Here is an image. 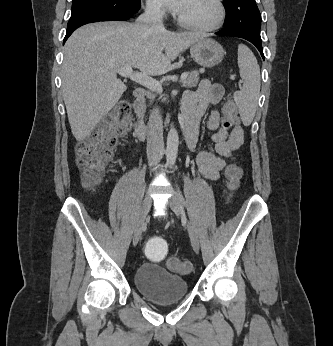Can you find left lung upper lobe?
I'll return each instance as SVG.
<instances>
[{
	"mask_svg": "<svg viewBox=\"0 0 333 346\" xmlns=\"http://www.w3.org/2000/svg\"><path fill=\"white\" fill-rule=\"evenodd\" d=\"M225 28H234L261 39V14L255 0H223Z\"/></svg>",
	"mask_w": 333,
	"mask_h": 346,
	"instance_id": "1",
	"label": "left lung upper lobe"
}]
</instances>
